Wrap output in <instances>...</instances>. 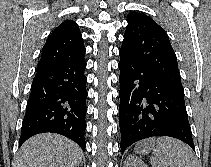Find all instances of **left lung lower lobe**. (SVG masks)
I'll list each match as a JSON object with an SVG mask.
<instances>
[{"mask_svg":"<svg viewBox=\"0 0 211 167\" xmlns=\"http://www.w3.org/2000/svg\"><path fill=\"white\" fill-rule=\"evenodd\" d=\"M121 151L152 136L174 137L195 150L184 102L175 88L119 51Z\"/></svg>","mask_w":211,"mask_h":167,"instance_id":"obj_1","label":"left lung lower lobe"}]
</instances>
